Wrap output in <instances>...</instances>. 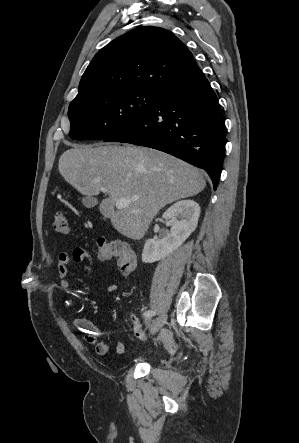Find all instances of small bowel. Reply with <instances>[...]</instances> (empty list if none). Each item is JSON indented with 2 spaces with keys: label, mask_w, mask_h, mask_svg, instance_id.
Wrapping results in <instances>:
<instances>
[{
  "label": "small bowel",
  "mask_w": 299,
  "mask_h": 443,
  "mask_svg": "<svg viewBox=\"0 0 299 443\" xmlns=\"http://www.w3.org/2000/svg\"><path fill=\"white\" fill-rule=\"evenodd\" d=\"M87 261L85 266L86 271L94 273L96 271L95 261L91 254L83 248H75L72 253L61 252L58 256V275L60 287L64 290H69L73 286V282L68 278V265L72 262L81 263ZM133 324V332L137 338L142 339L145 336L139 318L134 315L130 316ZM75 324L81 332L83 338L90 344L94 345L95 351L98 355L107 354L112 348L118 355L125 352V344L118 341L110 346L105 342L98 340V337L103 335L105 331L101 329L93 321L86 318H77Z\"/></svg>",
  "instance_id": "1"
}]
</instances>
